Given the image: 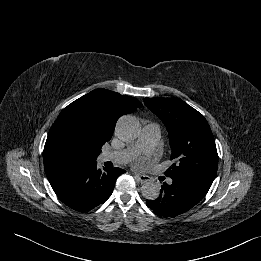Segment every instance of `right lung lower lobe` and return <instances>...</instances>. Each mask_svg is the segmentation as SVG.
Returning <instances> with one entry per match:
<instances>
[{
  "instance_id": "obj_1",
  "label": "right lung lower lobe",
  "mask_w": 261,
  "mask_h": 261,
  "mask_svg": "<svg viewBox=\"0 0 261 261\" xmlns=\"http://www.w3.org/2000/svg\"><path fill=\"white\" fill-rule=\"evenodd\" d=\"M126 171L97 169V162L71 168L48 178L58 198L79 212L104 203L112 194L116 179Z\"/></svg>"
}]
</instances>
